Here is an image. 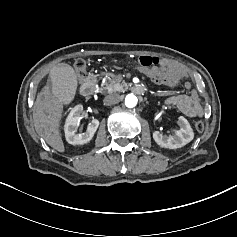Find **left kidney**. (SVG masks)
<instances>
[{
	"label": "left kidney",
	"instance_id": "left-kidney-1",
	"mask_svg": "<svg viewBox=\"0 0 237 237\" xmlns=\"http://www.w3.org/2000/svg\"><path fill=\"white\" fill-rule=\"evenodd\" d=\"M179 129H176L172 135H163L159 131L153 132V139L162 148L177 149L185 146L193 140L194 133L187 119L183 116L178 117Z\"/></svg>",
	"mask_w": 237,
	"mask_h": 237
}]
</instances>
